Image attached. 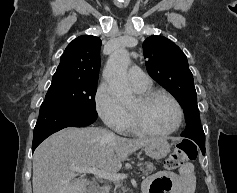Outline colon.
Returning <instances> with one entry per match:
<instances>
[{"label": "colon", "mask_w": 237, "mask_h": 193, "mask_svg": "<svg viewBox=\"0 0 237 193\" xmlns=\"http://www.w3.org/2000/svg\"><path fill=\"white\" fill-rule=\"evenodd\" d=\"M197 147L191 141L179 142L165 161L168 170H175L197 158Z\"/></svg>", "instance_id": "obj_1"}]
</instances>
